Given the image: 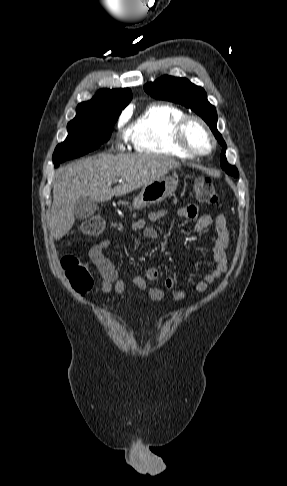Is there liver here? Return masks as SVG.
<instances>
[{"mask_svg": "<svg viewBox=\"0 0 287 486\" xmlns=\"http://www.w3.org/2000/svg\"><path fill=\"white\" fill-rule=\"evenodd\" d=\"M180 166V162L166 156L100 154L61 168L53 186L48 224L51 236L59 240L73 227L74 206L81 196L105 202L158 180ZM118 180L120 184L112 189Z\"/></svg>", "mask_w": 287, "mask_h": 486, "instance_id": "6515ba94", "label": "liver"}]
</instances>
